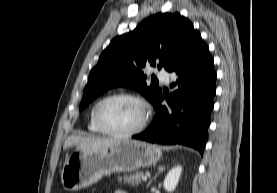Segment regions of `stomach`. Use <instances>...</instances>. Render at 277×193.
Wrapping results in <instances>:
<instances>
[{"label":"stomach","instance_id":"obj_1","mask_svg":"<svg viewBox=\"0 0 277 193\" xmlns=\"http://www.w3.org/2000/svg\"><path fill=\"white\" fill-rule=\"evenodd\" d=\"M160 158L158 146L136 140H119L103 149L77 147L63 164L61 182L65 190L76 191L114 172L155 165Z\"/></svg>","mask_w":277,"mask_h":193}]
</instances>
